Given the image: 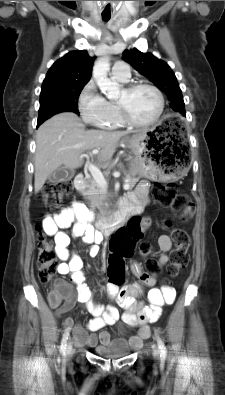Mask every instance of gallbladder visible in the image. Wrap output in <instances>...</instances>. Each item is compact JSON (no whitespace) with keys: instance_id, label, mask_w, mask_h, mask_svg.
Wrapping results in <instances>:
<instances>
[{"instance_id":"gallbladder-1","label":"gallbladder","mask_w":225,"mask_h":395,"mask_svg":"<svg viewBox=\"0 0 225 395\" xmlns=\"http://www.w3.org/2000/svg\"><path fill=\"white\" fill-rule=\"evenodd\" d=\"M74 175H75L74 170L68 169L65 166H60L48 177V181L50 183L56 184L59 182L70 180L74 177Z\"/></svg>"}]
</instances>
